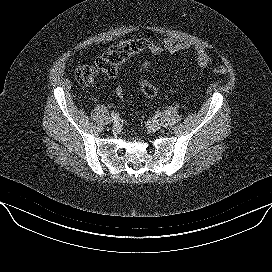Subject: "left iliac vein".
I'll use <instances>...</instances> for the list:
<instances>
[{
	"label": "left iliac vein",
	"mask_w": 272,
	"mask_h": 272,
	"mask_svg": "<svg viewBox=\"0 0 272 272\" xmlns=\"http://www.w3.org/2000/svg\"><path fill=\"white\" fill-rule=\"evenodd\" d=\"M148 127L152 131H158L161 129V124L157 120L152 119L148 122Z\"/></svg>",
	"instance_id": "1"
}]
</instances>
